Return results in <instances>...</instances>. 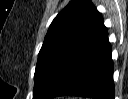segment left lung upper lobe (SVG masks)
Wrapping results in <instances>:
<instances>
[{
  "instance_id": "1",
  "label": "left lung upper lobe",
  "mask_w": 128,
  "mask_h": 99,
  "mask_svg": "<svg viewBox=\"0 0 128 99\" xmlns=\"http://www.w3.org/2000/svg\"><path fill=\"white\" fill-rule=\"evenodd\" d=\"M102 20L90 0H72L54 18L39 52L33 99L44 98L58 69L88 40Z\"/></svg>"
}]
</instances>
